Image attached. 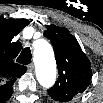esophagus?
Returning <instances> with one entry per match:
<instances>
[{
    "label": "esophagus",
    "mask_w": 103,
    "mask_h": 103,
    "mask_svg": "<svg viewBox=\"0 0 103 103\" xmlns=\"http://www.w3.org/2000/svg\"><path fill=\"white\" fill-rule=\"evenodd\" d=\"M34 64H30V65H28V71L29 72H33L34 71Z\"/></svg>",
    "instance_id": "34e87169"
}]
</instances>
